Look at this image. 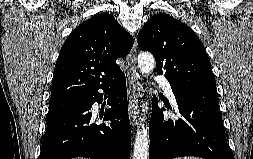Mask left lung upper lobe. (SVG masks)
I'll use <instances>...</instances> for the list:
<instances>
[{"label": "left lung upper lobe", "mask_w": 253, "mask_h": 159, "mask_svg": "<svg viewBox=\"0 0 253 159\" xmlns=\"http://www.w3.org/2000/svg\"><path fill=\"white\" fill-rule=\"evenodd\" d=\"M138 46L156 59L157 73L173 87L216 92L210 60L196 34L166 14H155L140 30Z\"/></svg>", "instance_id": "5c2ea615"}]
</instances>
